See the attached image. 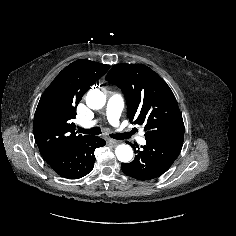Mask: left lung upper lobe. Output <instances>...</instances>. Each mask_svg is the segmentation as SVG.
<instances>
[{"mask_svg":"<svg viewBox=\"0 0 236 236\" xmlns=\"http://www.w3.org/2000/svg\"><path fill=\"white\" fill-rule=\"evenodd\" d=\"M106 80L122 89L129 120L144 124L145 139L184 134L175 96L152 69L141 64H118L112 67Z\"/></svg>","mask_w":236,"mask_h":236,"instance_id":"obj_1","label":"left lung upper lobe"}]
</instances>
